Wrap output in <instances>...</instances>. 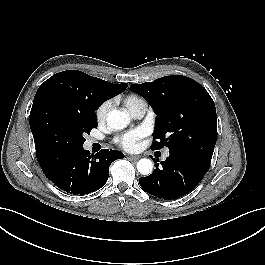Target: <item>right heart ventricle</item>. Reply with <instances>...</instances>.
<instances>
[{"label": "right heart ventricle", "instance_id": "e07e8e85", "mask_svg": "<svg viewBox=\"0 0 265 265\" xmlns=\"http://www.w3.org/2000/svg\"><path fill=\"white\" fill-rule=\"evenodd\" d=\"M124 104L127 109L133 113L141 106H147L146 101L137 94H129L124 98Z\"/></svg>", "mask_w": 265, "mask_h": 265}]
</instances>
